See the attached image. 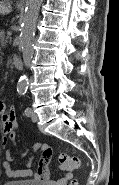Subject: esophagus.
<instances>
[{
  "label": "esophagus",
  "instance_id": "obj_1",
  "mask_svg": "<svg viewBox=\"0 0 119 185\" xmlns=\"http://www.w3.org/2000/svg\"><path fill=\"white\" fill-rule=\"evenodd\" d=\"M24 1H25V0H19V3H20V4H21V3H24Z\"/></svg>",
  "mask_w": 119,
  "mask_h": 185
}]
</instances>
